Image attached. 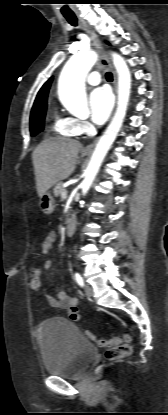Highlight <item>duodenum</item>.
Segmentation results:
<instances>
[{
  "instance_id": "duodenum-1",
  "label": "duodenum",
  "mask_w": 168,
  "mask_h": 415,
  "mask_svg": "<svg viewBox=\"0 0 168 415\" xmlns=\"http://www.w3.org/2000/svg\"><path fill=\"white\" fill-rule=\"evenodd\" d=\"M76 229V218L74 215L67 221L64 232L65 234H72Z\"/></svg>"
}]
</instances>
